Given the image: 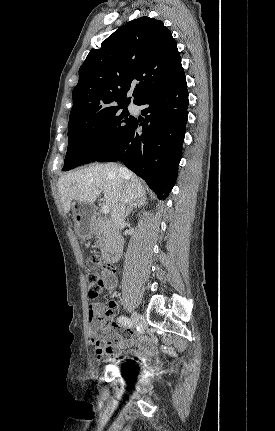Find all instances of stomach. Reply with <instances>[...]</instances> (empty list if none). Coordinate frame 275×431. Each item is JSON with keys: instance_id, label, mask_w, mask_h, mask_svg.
<instances>
[{"instance_id": "1", "label": "stomach", "mask_w": 275, "mask_h": 431, "mask_svg": "<svg viewBox=\"0 0 275 431\" xmlns=\"http://www.w3.org/2000/svg\"><path fill=\"white\" fill-rule=\"evenodd\" d=\"M71 209L74 216L76 234L83 239L90 238L95 231L91 205L74 201L71 204Z\"/></svg>"}]
</instances>
